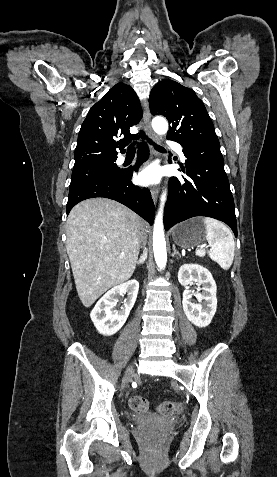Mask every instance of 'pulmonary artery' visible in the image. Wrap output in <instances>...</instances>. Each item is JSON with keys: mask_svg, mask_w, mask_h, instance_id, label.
I'll use <instances>...</instances> for the list:
<instances>
[{"mask_svg": "<svg viewBox=\"0 0 277 477\" xmlns=\"http://www.w3.org/2000/svg\"><path fill=\"white\" fill-rule=\"evenodd\" d=\"M170 146L180 155L181 158H184L183 149L180 144L171 142ZM118 161L122 163L124 161V158L120 157Z\"/></svg>", "mask_w": 277, "mask_h": 477, "instance_id": "e3ab8cb5", "label": "pulmonary artery"}]
</instances>
